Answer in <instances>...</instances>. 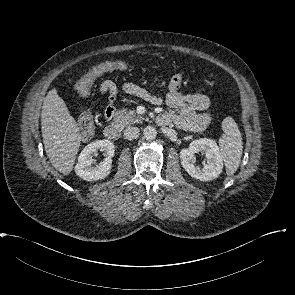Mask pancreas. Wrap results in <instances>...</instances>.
Segmentation results:
<instances>
[{
  "instance_id": "1",
  "label": "pancreas",
  "mask_w": 295,
  "mask_h": 295,
  "mask_svg": "<svg viewBox=\"0 0 295 295\" xmlns=\"http://www.w3.org/2000/svg\"><path fill=\"white\" fill-rule=\"evenodd\" d=\"M142 120H144V118L136 114L134 111H128L127 109H119L115 113L114 123L117 126L124 128L131 124L141 123Z\"/></svg>"
}]
</instances>
